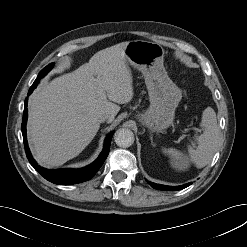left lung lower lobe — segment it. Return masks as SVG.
Here are the masks:
<instances>
[{"label":"left lung lower lobe","mask_w":247,"mask_h":247,"mask_svg":"<svg viewBox=\"0 0 247 247\" xmlns=\"http://www.w3.org/2000/svg\"><path fill=\"white\" fill-rule=\"evenodd\" d=\"M148 182V184L151 185V187L157 189V190H163V191H175V190H181L184 189L186 187H188L191 183H187L181 186H166V185H160V184H156V183H152L149 182L148 180H146Z\"/></svg>","instance_id":"left-lung-lower-lobe-1"}]
</instances>
